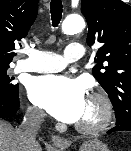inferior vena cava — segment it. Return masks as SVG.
I'll list each match as a JSON object with an SVG mask.
<instances>
[{
    "label": "inferior vena cava",
    "mask_w": 131,
    "mask_h": 151,
    "mask_svg": "<svg viewBox=\"0 0 131 151\" xmlns=\"http://www.w3.org/2000/svg\"><path fill=\"white\" fill-rule=\"evenodd\" d=\"M43 117L35 112L28 111L25 115L22 124L16 132L19 136L21 144L26 148V151H35L36 134L40 129Z\"/></svg>",
    "instance_id": "inferior-vena-cava-1"
}]
</instances>
